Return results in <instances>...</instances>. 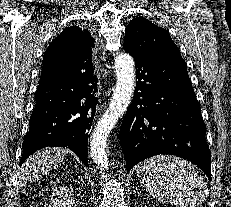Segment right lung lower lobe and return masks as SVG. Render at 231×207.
<instances>
[{"instance_id":"right-lung-lower-lobe-1","label":"right lung lower lobe","mask_w":231,"mask_h":207,"mask_svg":"<svg viewBox=\"0 0 231 207\" xmlns=\"http://www.w3.org/2000/svg\"><path fill=\"white\" fill-rule=\"evenodd\" d=\"M72 72L63 66L43 65L30 129L22 145L20 165L37 150L68 147L88 167V133L96 112V87L91 57Z\"/></svg>"}]
</instances>
